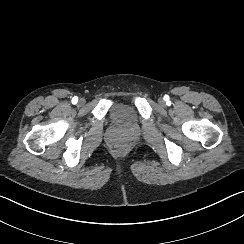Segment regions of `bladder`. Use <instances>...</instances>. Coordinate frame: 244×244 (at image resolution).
Segmentation results:
<instances>
[{
  "label": "bladder",
  "mask_w": 244,
  "mask_h": 244,
  "mask_svg": "<svg viewBox=\"0 0 244 244\" xmlns=\"http://www.w3.org/2000/svg\"><path fill=\"white\" fill-rule=\"evenodd\" d=\"M110 117L117 126L125 127L137 119L138 112L131 104L117 103L113 105Z\"/></svg>",
  "instance_id": "31cf9c89"
}]
</instances>
